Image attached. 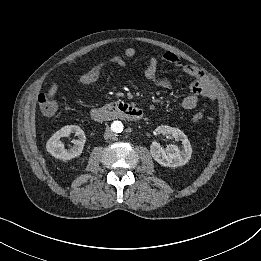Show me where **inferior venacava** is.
<instances>
[{
    "label": "inferior vena cava",
    "instance_id": "obj_1",
    "mask_svg": "<svg viewBox=\"0 0 261 261\" xmlns=\"http://www.w3.org/2000/svg\"><path fill=\"white\" fill-rule=\"evenodd\" d=\"M114 137V133L110 128H106L105 133H104V138L107 139H111Z\"/></svg>",
    "mask_w": 261,
    "mask_h": 261
}]
</instances>
